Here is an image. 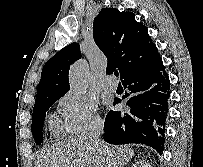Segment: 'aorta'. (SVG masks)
Segmentation results:
<instances>
[{"label":"aorta","instance_id":"aorta-1","mask_svg":"<svg viewBox=\"0 0 203 167\" xmlns=\"http://www.w3.org/2000/svg\"><path fill=\"white\" fill-rule=\"evenodd\" d=\"M69 82L74 92L80 94L87 92L89 86V67L85 61H79L71 67Z\"/></svg>","mask_w":203,"mask_h":167}]
</instances>
